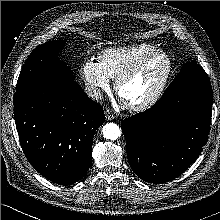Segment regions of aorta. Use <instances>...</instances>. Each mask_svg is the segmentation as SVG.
Returning a JSON list of instances; mask_svg holds the SVG:
<instances>
[{"mask_svg":"<svg viewBox=\"0 0 220 220\" xmlns=\"http://www.w3.org/2000/svg\"><path fill=\"white\" fill-rule=\"evenodd\" d=\"M121 131L117 124L107 123L103 127V136L108 140H116L120 137Z\"/></svg>","mask_w":220,"mask_h":220,"instance_id":"obj_1","label":"aorta"}]
</instances>
